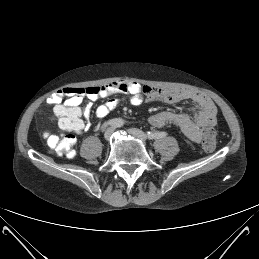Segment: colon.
Returning <instances> with one entry per match:
<instances>
[{"mask_svg": "<svg viewBox=\"0 0 259 259\" xmlns=\"http://www.w3.org/2000/svg\"><path fill=\"white\" fill-rule=\"evenodd\" d=\"M55 118L59 120V124L65 131H71L75 125L73 119H63L59 114L55 113ZM48 145L58 154L72 158L75 155L76 139L72 134L61 133L59 135H50L47 140ZM202 147L206 152H212L216 147V133L213 127L207 130L203 140Z\"/></svg>", "mask_w": 259, "mask_h": 259, "instance_id": "1", "label": "colon"}]
</instances>
